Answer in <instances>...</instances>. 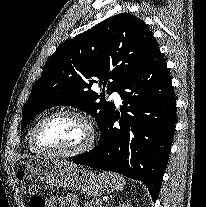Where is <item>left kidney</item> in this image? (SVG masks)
<instances>
[{"mask_svg":"<svg viewBox=\"0 0 206 207\" xmlns=\"http://www.w3.org/2000/svg\"><path fill=\"white\" fill-rule=\"evenodd\" d=\"M119 207H133V206L130 205V204L127 202V203H123V204H121Z\"/></svg>","mask_w":206,"mask_h":207,"instance_id":"obj_1","label":"left kidney"}]
</instances>
